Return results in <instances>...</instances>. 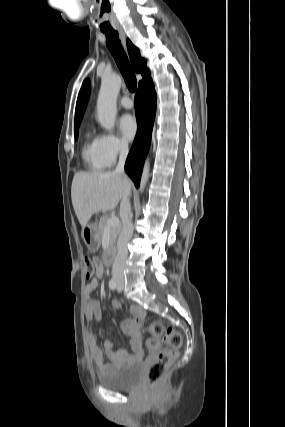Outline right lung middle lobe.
Listing matches in <instances>:
<instances>
[{
	"label": "right lung middle lobe",
	"instance_id": "1",
	"mask_svg": "<svg viewBox=\"0 0 285 427\" xmlns=\"http://www.w3.org/2000/svg\"><path fill=\"white\" fill-rule=\"evenodd\" d=\"M75 139L78 137V128H74Z\"/></svg>",
	"mask_w": 285,
	"mask_h": 427
}]
</instances>
